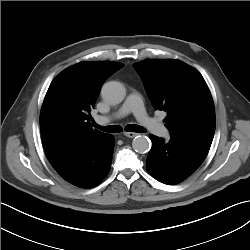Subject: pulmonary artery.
I'll list each match as a JSON object with an SVG mask.
<instances>
[{
	"label": "pulmonary artery",
	"instance_id": "1",
	"mask_svg": "<svg viewBox=\"0 0 250 250\" xmlns=\"http://www.w3.org/2000/svg\"><path fill=\"white\" fill-rule=\"evenodd\" d=\"M129 113H133L137 121L155 135L162 138L169 137V130L147 114L141 96L137 92L130 93L124 104L112 116H97L96 121L99 124H107L113 119L122 118Z\"/></svg>",
	"mask_w": 250,
	"mask_h": 250
}]
</instances>
